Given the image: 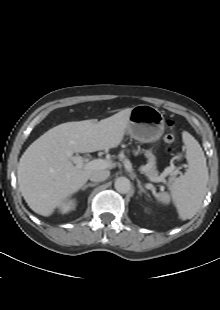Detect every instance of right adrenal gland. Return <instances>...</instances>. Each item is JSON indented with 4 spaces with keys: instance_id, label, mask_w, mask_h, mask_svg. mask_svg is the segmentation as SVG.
<instances>
[{
    "instance_id": "2a0ac1e0",
    "label": "right adrenal gland",
    "mask_w": 220,
    "mask_h": 310,
    "mask_svg": "<svg viewBox=\"0 0 220 310\" xmlns=\"http://www.w3.org/2000/svg\"><path fill=\"white\" fill-rule=\"evenodd\" d=\"M96 185H97V183H88V184L84 185L81 189H82V190H85V189H87L88 187H94V186H96Z\"/></svg>"
}]
</instances>
